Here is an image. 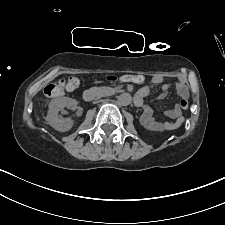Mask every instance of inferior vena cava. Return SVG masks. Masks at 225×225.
Returning a JSON list of instances; mask_svg holds the SVG:
<instances>
[{
	"label": "inferior vena cava",
	"instance_id": "1",
	"mask_svg": "<svg viewBox=\"0 0 225 225\" xmlns=\"http://www.w3.org/2000/svg\"><path fill=\"white\" fill-rule=\"evenodd\" d=\"M97 102H98V100L94 101V103H97Z\"/></svg>",
	"mask_w": 225,
	"mask_h": 225
}]
</instances>
